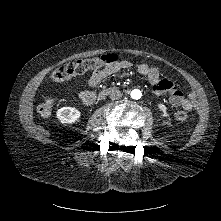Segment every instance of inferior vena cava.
I'll list each match as a JSON object with an SVG mask.
<instances>
[{"instance_id":"obj_1","label":"inferior vena cava","mask_w":221,"mask_h":221,"mask_svg":"<svg viewBox=\"0 0 221 221\" xmlns=\"http://www.w3.org/2000/svg\"><path fill=\"white\" fill-rule=\"evenodd\" d=\"M122 97V93L119 90H113L110 93V99L115 101V100H119Z\"/></svg>"}]
</instances>
